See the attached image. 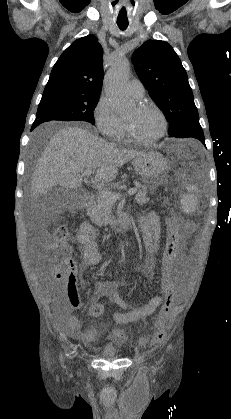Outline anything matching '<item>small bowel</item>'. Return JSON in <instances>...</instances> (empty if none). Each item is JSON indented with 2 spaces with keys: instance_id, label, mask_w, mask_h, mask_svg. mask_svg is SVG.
<instances>
[{
  "instance_id": "1",
  "label": "small bowel",
  "mask_w": 231,
  "mask_h": 419,
  "mask_svg": "<svg viewBox=\"0 0 231 419\" xmlns=\"http://www.w3.org/2000/svg\"><path fill=\"white\" fill-rule=\"evenodd\" d=\"M139 223L142 230L144 248L147 253L146 262L149 264L152 255L158 249L160 220L156 213L150 212L145 216H141L139 218ZM76 241L83 252V259L81 262L82 271L101 263V256L95 242V230L90 223L84 222L80 225ZM166 265H169L171 268L173 262L172 264H164V267ZM59 281L63 283L61 279ZM96 291L98 298H108L124 310V312H115L112 315L113 321L119 325L129 324L152 315L163 302L162 296H155L146 301L143 305L130 306L120 297L116 284L111 281L99 282ZM65 292L71 306L73 308H79L81 306V300L76 285L73 288H68L65 285ZM97 304L98 303H93L92 307ZM60 328L70 337L86 344L93 343L96 339V331L94 329L82 330V323L76 316H70L63 320L60 323Z\"/></svg>"
}]
</instances>
